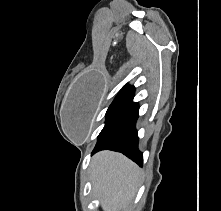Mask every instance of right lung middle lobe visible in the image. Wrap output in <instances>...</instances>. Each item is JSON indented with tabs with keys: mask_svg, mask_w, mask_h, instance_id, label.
Returning a JSON list of instances; mask_svg holds the SVG:
<instances>
[{
	"mask_svg": "<svg viewBox=\"0 0 221 211\" xmlns=\"http://www.w3.org/2000/svg\"><path fill=\"white\" fill-rule=\"evenodd\" d=\"M134 96V91H121L112 104L109 106L106 112V122L99 136L104 133L118 118L121 112L126 108V106L132 101Z\"/></svg>",
	"mask_w": 221,
	"mask_h": 211,
	"instance_id": "dd1d6c3e",
	"label": "right lung middle lobe"
}]
</instances>
